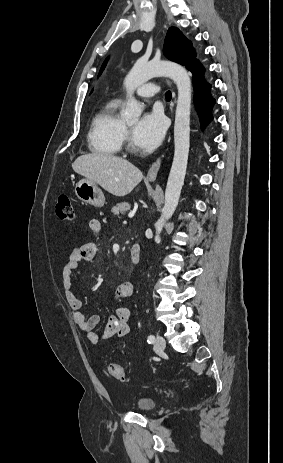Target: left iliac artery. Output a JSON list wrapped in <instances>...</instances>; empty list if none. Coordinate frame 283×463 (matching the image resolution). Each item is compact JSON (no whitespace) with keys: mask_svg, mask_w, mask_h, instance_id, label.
<instances>
[{"mask_svg":"<svg viewBox=\"0 0 283 463\" xmlns=\"http://www.w3.org/2000/svg\"><path fill=\"white\" fill-rule=\"evenodd\" d=\"M154 341H155V337H154L153 335H149V336H148V339H147V342H148L149 344H152V343H154Z\"/></svg>","mask_w":283,"mask_h":463,"instance_id":"44dca946","label":"left iliac artery"}]
</instances>
